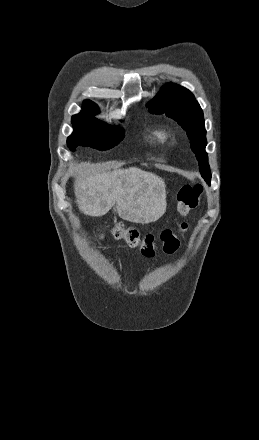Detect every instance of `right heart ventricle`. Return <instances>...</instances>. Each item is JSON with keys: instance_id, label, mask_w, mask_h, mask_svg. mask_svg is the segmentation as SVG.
<instances>
[{"instance_id": "obj_1", "label": "right heart ventricle", "mask_w": 259, "mask_h": 440, "mask_svg": "<svg viewBox=\"0 0 259 440\" xmlns=\"http://www.w3.org/2000/svg\"><path fill=\"white\" fill-rule=\"evenodd\" d=\"M168 137H169L168 131L162 125H158L151 128L148 131V135H147L148 140L155 144L166 142Z\"/></svg>"}]
</instances>
